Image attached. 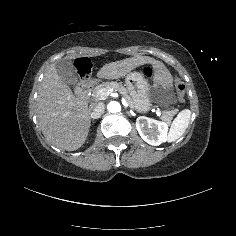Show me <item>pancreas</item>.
<instances>
[{
  "label": "pancreas",
  "instance_id": "pancreas-1",
  "mask_svg": "<svg viewBox=\"0 0 236 236\" xmlns=\"http://www.w3.org/2000/svg\"><path fill=\"white\" fill-rule=\"evenodd\" d=\"M111 88L118 91L131 107L134 105L132 98L128 95L127 89L122 84L117 82H105L103 84L96 86L92 92L93 96L96 98V100H99L100 99L98 96L99 90L101 89L108 90ZM174 115L175 111H164L161 116V119L167 123H171L172 117Z\"/></svg>",
  "mask_w": 236,
  "mask_h": 236
}]
</instances>
